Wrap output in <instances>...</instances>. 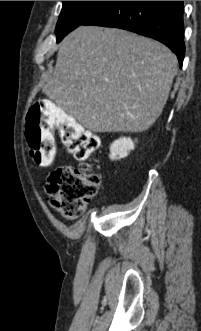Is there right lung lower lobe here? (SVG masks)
<instances>
[{
  "label": "right lung lower lobe",
  "mask_w": 201,
  "mask_h": 331,
  "mask_svg": "<svg viewBox=\"0 0 201 331\" xmlns=\"http://www.w3.org/2000/svg\"><path fill=\"white\" fill-rule=\"evenodd\" d=\"M83 25L121 28L156 39L177 55L182 67L183 1H111Z\"/></svg>",
  "instance_id": "obj_1"
}]
</instances>
